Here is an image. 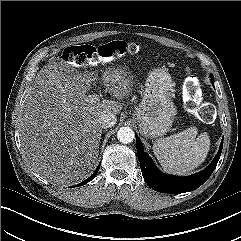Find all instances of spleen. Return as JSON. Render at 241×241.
Listing matches in <instances>:
<instances>
[{
	"instance_id": "obj_1",
	"label": "spleen",
	"mask_w": 241,
	"mask_h": 241,
	"mask_svg": "<svg viewBox=\"0 0 241 241\" xmlns=\"http://www.w3.org/2000/svg\"><path fill=\"white\" fill-rule=\"evenodd\" d=\"M210 149L206 132L197 136L195 127L166 138L153 145V152L163 169L169 173L185 175L202 164Z\"/></svg>"
}]
</instances>
